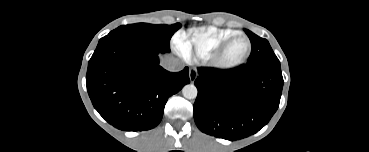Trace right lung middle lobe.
<instances>
[{
    "instance_id": "obj_1",
    "label": "right lung middle lobe",
    "mask_w": 369,
    "mask_h": 152,
    "mask_svg": "<svg viewBox=\"0 0 369 152\" xmlns=\"http://www.w3.org/2000/svg\"><path fill=\"white\" fill-rule=\"evenodd\" d=\"M180 27V23L173 25H153L147 23L122 25L101 38L98 45L116 39H133L152 45L161 52H170V39Z\"/></svg>"
}]
</instances>
